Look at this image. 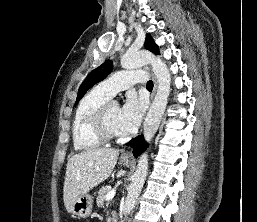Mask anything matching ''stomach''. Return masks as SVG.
Masks as SVG:
<instances>
[{
	"label": "stomach",
	"instance_id": "0dacf381",
	"mask_svg": "<svg viewBox=\"0 0 257 222\" xmlns=\"http://www.w3.org/2000/svg\"><path fill=\"white\" fill-rule=\"evenodd\" d=\"M130 162L131 161L125 157L120 158V163H122L123 165L128 166ZM92 206H93L92 196L89 195L88 193L81 194L73 202L72 213L77 217L86 218L91 214Z\"/></svg>",
	"mask_w": 257,
	"mask_h": 222
}]
</instances>
